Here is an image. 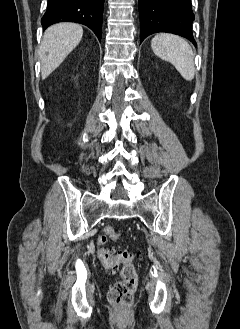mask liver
Returning a JSON list of instances; mask_svg holds the SVG:
<instances>
[{
	"label": "liver",
	"instance_id": "liver-1",
	"mask_svg": "<svg viewBox=\"0 0 240 329\" xmlns=\"http://www.w3.org/2000/svg\"><path fill=\"white\" fill-rule=\"evenodd\" d=\"M83 29L75 23H59L49 27L39 49L41 76L46 79L79 44Z\"/></svg>",
	"mask_w": 240,
	"mask_h": 329
}]
</instances>
